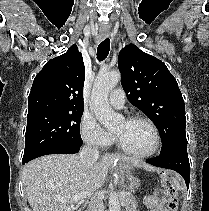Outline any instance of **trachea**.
I'll list each match as a JSON object with an SVG mask.
<instances>
[{
    "mask_svg": "<svg viewBox=\"0 0 209 211\" xmlns=\"http://www.w3.org/2000/svg\"><path fill=\"white\" fill-rule=\"evenodd\" d=\"M109 50H110V39L106 38L99 44L97 48V59L99 61H103L108 56Z\"/></svg>",
    "mask_w": 209,
    "mask_h": 211,
    "instance_id": "trachea-1",
    "label": "trachea"
}]
</instances>
